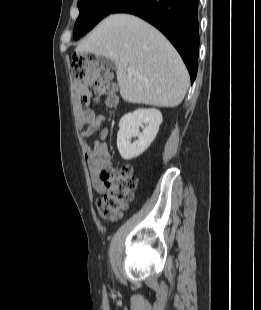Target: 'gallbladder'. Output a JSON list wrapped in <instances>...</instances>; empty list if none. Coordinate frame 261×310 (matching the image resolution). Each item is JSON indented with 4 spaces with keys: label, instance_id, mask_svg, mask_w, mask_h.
I'll list each match as a JSON object with an SVG mask.
<instances>
[{
    "label": "gallbladder",
    "instance_id": "gallbladder-1",
    "mask_svg": "<svg viewBox=\"0 0 261 310\" xmlns=\"http://www.w3.org/2000/svg\"><path fill=\"white\" fill-rule=\"evenodd\" d=\"M97 62H99L102 66H106L108 68H114V63L111 59L105 56H97Z\"/></svg>",
    "mask_w": 261,
    "mask_h": 310
}]
</instances>
